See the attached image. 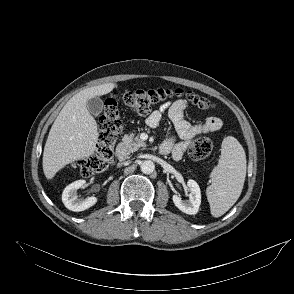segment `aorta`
Listing matches in <instances>:
<instances>
[{"instance_id": "obj_1", "label": "aorta", "mask_w": 294, "mask_h": 294, "mask_svg": "<svg viewBox=\"0 0 294 294\" xmlns=\"http://www.w3.org/2000/svg\"><path fill=\"white\" fill-rule=\"evenodd\" d=\"M140 168L144 174H151L155 170V164L151 160H145L141 163Z\"/></svg>"}]
</instances>
